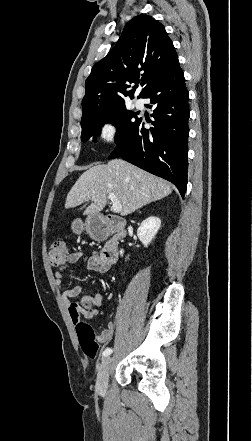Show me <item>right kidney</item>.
<instances>
[{
  "instance_id": "right-kidney-1",
  "label": "right kidney",
  "mask_w": 252,
  "mask_h": 441,
  "mask_svg": "<svg viewBox=\"0 0 252 441\" xmlns=\"http://www.w3.org/2000/svg\"><path fill=\"white\" fill-rule=\"evenodd\" d=\"M161 226V220L158 217L151 216L144 220L137 229V236L144 247L152 242ZM124 250H120V255L123 256Z\"/></svg>"
}]
</instances>
